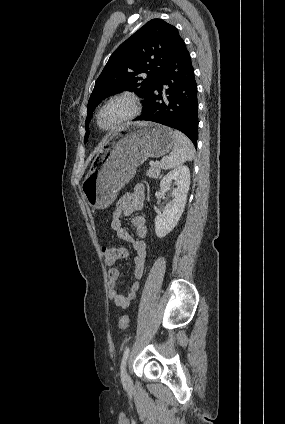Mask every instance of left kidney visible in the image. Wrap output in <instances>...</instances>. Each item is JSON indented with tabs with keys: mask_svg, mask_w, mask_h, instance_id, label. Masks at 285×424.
<instances>
[{
	"mask_svg": "<svg viewBox=\"0 0 285 424\" xmlns=\"http://www.w3.org/2000/svg\"><path fill=\"white\" fill-rule=\"evenodd\" d=\"M172 181L176 188L173 189L169 202L161 215L155 218V233L159 238L165 237L177 225L187 201V193L190 187V171L187 166H180L167 173L160 181V189L168 191Z\"/></svg>",
	"mask_w": 285,
	"mask_h": 424,
	"instance_id": "obj_1",
	"label": "left kidney"
}]
</instances>
